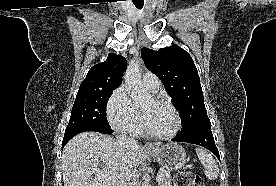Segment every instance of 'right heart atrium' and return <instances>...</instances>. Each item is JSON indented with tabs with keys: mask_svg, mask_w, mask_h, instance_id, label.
<instances>
[{
	"mask_svg": "<svg viewBox=\"0 0 276 186\" xmlns=\"http://www.w3.org/2000/svg\"><path fill=\"white\" fill-rule=\"evenodd\" d=\"M106 114L110 125L117 131L136 134L140 129L139 114L123 85L118 87L108 99Z\"/></svg>",
	"mask_w": 276,
	"mask_h": 186,
	"instance_id": "d8ad5b80",
	"label": "right heart atrium"
}]
</instances>
